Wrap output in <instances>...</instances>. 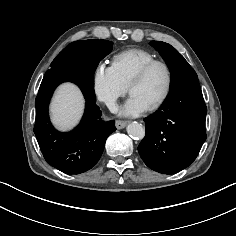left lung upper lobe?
<instances>
[{"label": "left lung upper lobe", "mask_w": 236, "mask_h": 236, "mask_svg": "<svg viewBox=\"0 0 236 236\" xmlns=\"http://www.w3.org/2000/svg\"><path fill=\"white\" fill-rule=\"evenodd\" d=\"M151 44L160 52L170 70L171 89L182 81L197 77L185 58L170 44L161 41H152Z\"/></svg>", "instance_id": "left-lung-upper-lobe-1"}]
</instances>
